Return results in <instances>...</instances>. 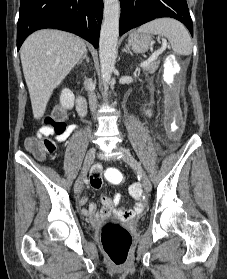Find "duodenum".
Here are the masks:
<instances>
[{
	"label": "duodenum",
	"mask_w": 227,
	"mask_h": 279,
	"mask_svg": "<svg viewBox=\"0 0 227 279\" xmlns=\"http://www.w3.org/2000/svg\"><path fill=\"white\" fill-rule=\"evenodd\" d=\"M75 105L77 112L80 116H85L87 110V100L86 98L76 91Z\"/></svg>",
	"instance_id": "duodenum-1"
}]
</instances>
